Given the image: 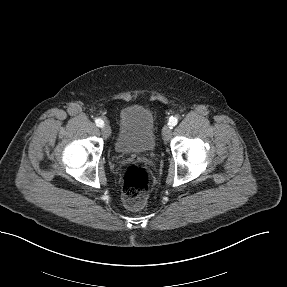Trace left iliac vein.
<instances>
[{
    "label": "left iliac vein",
    "mask_w": 287,
    "mask_h": 287,
    "mask_svg": "<svg viewBox=\"0 0 287 287\" xmlns=\"http://www.w3.org/2000/svg\"><path fill=\"white\" fill-rule=\"evenodd\" d=\"M171 127L166 125L163 127L162 129V136H163V140L166 142L170 139L171 137Z\"/></svg>",
    "instance_id": "1"
}]
</instances>
